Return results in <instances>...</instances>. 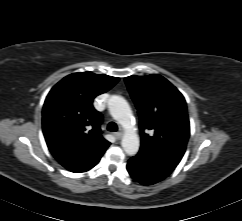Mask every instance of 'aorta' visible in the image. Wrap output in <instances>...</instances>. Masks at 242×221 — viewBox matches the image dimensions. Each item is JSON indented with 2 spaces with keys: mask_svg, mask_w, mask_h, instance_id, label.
<instances>
[{
  "mask_svg": "<svg viewBox=\"0 0 242 221\" xmlns=\"http://www.w3.org/2000/svg\"><path fill=\"white\" fill-rule=\"evenodd\" d=\"M108 106L112 117L125 130L121 141L124 151L130 156L137 154L140 140L132 124L133 115L128 102L123 97L114 95L109 99Z\"/></svg>",
  "mask_w": 242,
  "mask_h": 221,
  "instance_id": "1",
  "label": "aorta"
}]
</instances>
